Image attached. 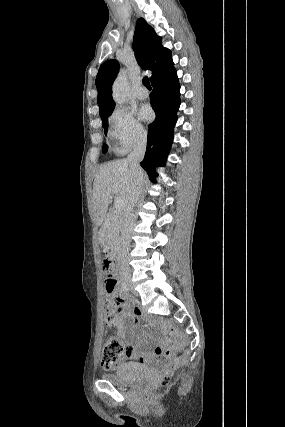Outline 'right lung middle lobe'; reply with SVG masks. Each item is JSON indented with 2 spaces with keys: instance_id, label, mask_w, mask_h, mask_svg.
Listing matches in <instances>:
<instances>
[{
  "instance_id": "right-lung-middle-lobe-1",
  "label": "right lung middle lobe",
  "mask_w": 285,
  "mask_h": 427,
  "mask_svg": "<svg viewBox=\"0 0 285 427\" xmlns=\"http://www.w3.org/2000/svg\"><path fill=\"white\" fill-rule=\"evenodd\" d=\"M107 119H108V118H105V119H103V120H102V125H103V127H104V129H105V135H106V131H107V129H108ZM106 150H107V145H106V144H104V145H103V152H106Z\"/></svg>"
}]
</instances>
